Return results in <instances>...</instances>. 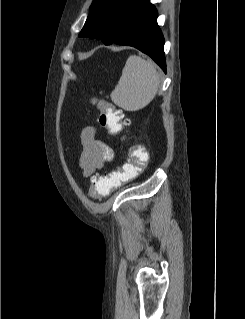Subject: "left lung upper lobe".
Returning a JSON list of instances; mask_svg holds the SVG:
<instances>
[{"instance_id":"left-lung-upper-lobe-1","label":"left lung upper lobe","mask_w":245,"mask_h":319,"mask_svg":"<svg viewBox=\"0 0 245 319\" xmlns=\"http://www.w3.org/2000/svg\"><path fill=\"white\" fill-rule=\"evenodd\" d=\"M149 0H94L79 37L112 44L128 19Z\"/></svg>"}]
</instances>
